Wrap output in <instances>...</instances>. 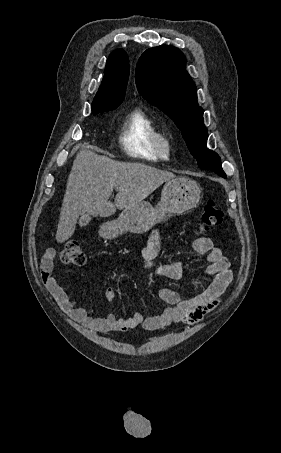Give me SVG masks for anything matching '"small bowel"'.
Instances as JSON below:
<instances>
[{
	"instance_id": "small-bowel-1",
	"label": "small bowel",
	"mask_w": 281,
	"mask_h": 453,
	"mask_svg": "<svg viewBox=\"0 0 281 453\" xmlns=\"http://www.w3.org/2000/svg\"><path fill=\"white\" fill-rule=\"evenodd\" d=\"M160 238L157 230H153L148 237V242L143 250V263L145 269L151 271L155 277L167 279H180L184 272L185 261L173 260L164 264L156 265L160 254ZM190 254L198 257L206 254L208 275L213 277L206 292L190 298H183L177 290L170 288H159L158 298L169 305L161 313L155 316H145L140 312L134 313L126 318H117L110 314L105 317L96 316L94 311L79 305L67 294L65 288L54 277V265L57 252L49 249L41 258L42 279L59 300L61 305L68 311L69 315L83 323L87 328L98 332H122L137 326H142L148 331L163 330L175 323L186 324L199 323L206 313L217 307L224 291L232 279V269L229 260L222 253L212 247L208 238L195 239L190 248ZM118 291L108 287L103 291V298L112 302Z\"/></svg>"
}]
</instances>
